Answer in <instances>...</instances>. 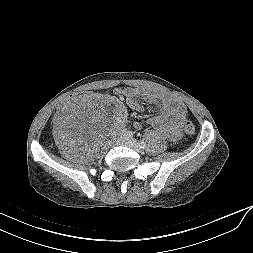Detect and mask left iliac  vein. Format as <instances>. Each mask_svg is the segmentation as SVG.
Returning <instances> with one entry per match:
<instances>
[{
    "instance_id": "obj_1",
    "label": "left iliac vein",
    "mask_w": 253,
    "mask_h": 253,
    "mask_svg": "<svg viewBox=\"0 0 253 253\" xmlns=\"http://www.w3.org/2000/svg\"><path fill=\"white\" fill-rule=\"evenodd\" d=\"M122 144L134 149L137 152L141 151V148H140L138 142L132 137H126Z\"/></svg>"
}]
</instances>
